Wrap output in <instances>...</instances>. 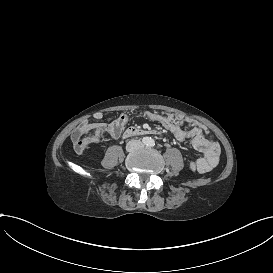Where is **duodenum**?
<instances>
[{"label":"duodenum","instance_id":"duodenum-1","mask_svg":"<svg viewBox=\"0 0 273 273\" xmlns=\"http://www.w3.org/2000/svg\"><path fill=\"white\" fill-rule=\"evenodd\" d=\"M159 132L156 130H149V129H141L138 127H130L128 128L123 137H133V136H143V135H157Z\"/></svg>","mask_w":273,"mask_h":273}]
</instances>
